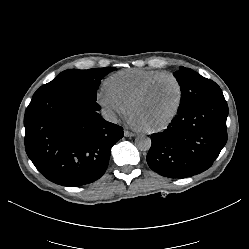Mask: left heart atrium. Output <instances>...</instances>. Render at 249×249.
<instances>
[{
  "instance_id": "39dd6f15",
  "label": "left heart atrium",
  "mask_w": 249,
  "mask_h": 249,
  "mask_svg": "<svg viewBox=\"0 0 249 249\" xmlns=\"http://www.w3.org/2000/svg\"><path fill=\"white\" fill-rule=\"evenodd\" d=\"M127 120L130 123V125L136 129H144L145 128L144 125L139 120V118L137 117V115L132 111L129 112V114L127 116Z\"/></svg>"
}]
</instances>
